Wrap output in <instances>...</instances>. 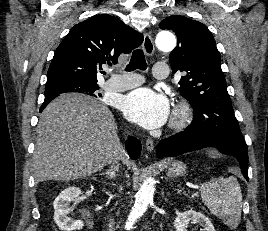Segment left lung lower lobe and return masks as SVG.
Wrapping results in <instances>:
<instances>
[{
    "label": "left lung lower lobe",
    "instance_id": "0a47b994",
    "mask_svg": "<svg viewBox=\"0 0 268 231\" xmlns=\"http://www.w3.org/2000/svg\"><path fill=\"white\" fill-rule=\"evenodd\" d=\"M204 147H215L221 153L235 157L240 163L243 176L248 180L247 147L215 136L184 130L161 140L157 146L156 155L158 158L175 157Z\"/></svg>",
    "mask_w": 268,
    "mask_h": 231
}]
</instances>
